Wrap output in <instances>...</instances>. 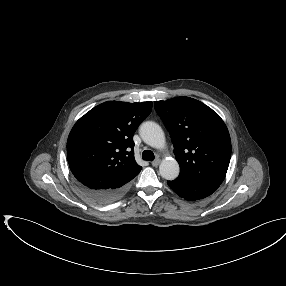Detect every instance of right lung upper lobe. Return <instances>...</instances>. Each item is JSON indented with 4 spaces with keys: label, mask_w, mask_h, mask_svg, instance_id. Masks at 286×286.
Listing matches in <instances>:
<instances>
[{
    "label": "right lung upper lobe",
    "mask_w": 286,
    "mask_h": 286,
    "mask_svg": "<svg viewBox=\"0 0 286 286\" xmlns=\"http://www.w3.org/2000/svg\"><path fill=\"white\" fill-rule=\"evenodd\" d=\"M152 102H104L82 116L67 141V160L76 180L93 188L123 186L142 167L134 158L133 135Z\"/></svg>",
    "instance_id": "obj_1"
}]
</instances>
